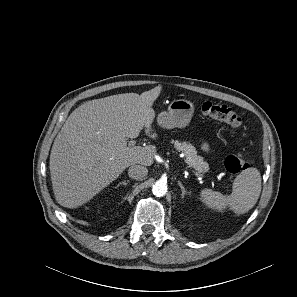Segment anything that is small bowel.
<instances>
[{"label": "small bowel", "instance_id": "c3829d8e", "mask_svg": "<svg viewBox=\"0 0 297 297\" xmlns=\"http://www.w3.org/2000/svg\"><path fill=\"white\" fill-rule=\"evenodd\" d=\"M204 149L207 150V145L206 144L204 145Z\"/></svg>", "mask_w": 297, "mask_h": 297}]
</instances>
